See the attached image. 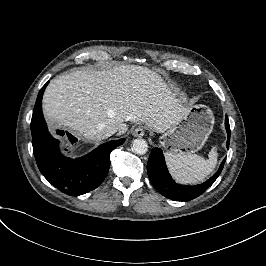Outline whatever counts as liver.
<instances>
[{"instance_id":"6515ba94","label":"liver","mask_w":266,"mask_h":266,"mask_svg":"<svg viewBox=\"0 0 266 266\" xmlns=\"http://www.w3.org/2000/svg\"><path fill=\"white\" fill-rule=\"evenodd\" d=\"M177 94L148 67L115 64L52 80L43 95V112L49 123L99 142L103 129L125 133L124 122H142L164 133L189 112Z\"/></svg>"}]
</instances>
